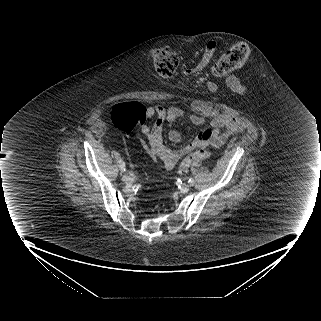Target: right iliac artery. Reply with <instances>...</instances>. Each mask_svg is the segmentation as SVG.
<instances>
[{
    "mask_svg": "<svg viewBox=\"0 0 321 321\" xmlns=\"http://www.w3.org/2000/svg\"><path fill=\"white\" fill-rule=\"evenodd\" d=\"M119 167H120L122 172L125 171V163H124V161H122V160L119 161Z\"/></svg>",
    "mask_w": 321,
    "mask_h": 321,
    "instance_id": "right-iliac-artery-1",
    "label": "right iliac artery"
}]
</instances>
